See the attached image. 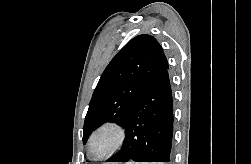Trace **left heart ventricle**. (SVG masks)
<instances>
[{"mask_svg":"<svg viewBox=\"0 0 251 164\" xmlns=\"http://www.w3.org/2000/svg\"><path fill=\"white\" fill-rule=\"evenodd\" d=\"M104 147H105V141H101L97 145V149L98 150H102Z\"/></svg>","mask_w":251,"mask_h":164,"instance_id":"1","label":"left heart ventricle"}]
</instances>
